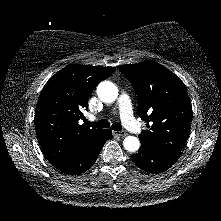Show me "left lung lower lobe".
I'll return each instance as SVG.
<instances>
[{
    "label": "left lung lower lobe",
    "instance_id": "0a47b994",
    "mask_svg": "<svg viewBox=\"0 0 221 221\" xmlns=\"http://www.w3.org/2000/svg\"><path fill=\"white\" fill-rule=\"evenodd\" d=\"M179 156L178 153L151 149L141 145L138 153L132 155V159L141 169L151 173H159L170 168L179 159Z\"/></svg>",
    "mask_w": 221,
    "mask_h": 221
}]
</instances>
